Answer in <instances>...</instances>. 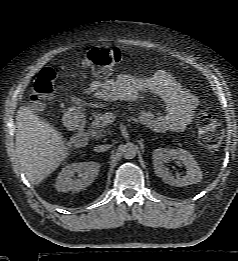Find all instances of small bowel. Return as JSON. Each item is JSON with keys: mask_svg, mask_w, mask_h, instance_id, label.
<instances>
[{"mask_svg": "<svg viewBox=\"0 0 238 261\" xmlns=\"http://www.w3.org/2000/svg\"><path fill=\"white\" fill-rule=\"evenodd\" d=\"M85 93L101 101L122 100L137 103L145 94L158 97L164 104L163 114L154 115L148 111L139 113V120L156 132L181 131L192 121L199 101L189 90L181 86L165 70L151 76L119 74L104 81H93Z\"/></svg>", "mask_w": 238, "mask_h": 261, "instance_id": "c3829d8e", "label": "small bowel"}]
</instances>
